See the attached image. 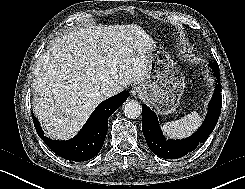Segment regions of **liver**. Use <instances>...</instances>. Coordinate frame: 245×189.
Returning <instances> with one entry per match:
<instances>
[{"instance_id": "6515ba94", "label": "liver", "mask_w": 245, "mask_h": 189, "mask_svg": "<svg viewBox=\"0 0 245 189\" xmlns=\"http://www.w3.org/2000/svg\"><path fill=\"white\" fill-rule=\"evenodd\" d=\"M155 41L135 24L96 25L58 38L35 66L33 108L51 138H72L107 97L145 81Z\"/></svg>"}]
</instances>
